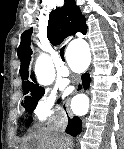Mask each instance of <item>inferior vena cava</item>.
I'll return each instance as SVG.
<instances>
[{"instance_id":"obj_1","label":"inferior vena cava","mask_w":124,"mask_h":149,"mask_svg":"<svg viewBox=\"0 0 124 149\" xmlns=\"http://www.w3.org/2000/svg\"><path fill=\"white\" fill-rule=\"evenodd\" d=\"M66 125H67V116H66V114L62 113V112L57 113L54 117V125L52 126V128L62 138L64 137L63 132L66 128Z\"/></svg>"}]
</instances>
